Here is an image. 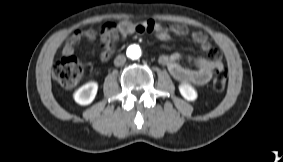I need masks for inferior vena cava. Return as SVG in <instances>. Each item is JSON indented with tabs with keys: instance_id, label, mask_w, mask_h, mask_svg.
I'll return each mask as SVG.
<instances>
[{
	"instance_id": "1",
	"label": "inferior vena cava",
	"mask_w": 283,
	"mask_h": 162,
	"mask_svg": "<svg viewBox=\"0 0 283 162\" xmlns=\"http://www.w3.org/2000/svg\"><path fill=\"white\" fill-rule=\"evenodd\" d=\"M126 62V57L124 55H118L115 59H114V65L115 66H122L124 65Z\"/></svg>"
}]
</instances>
